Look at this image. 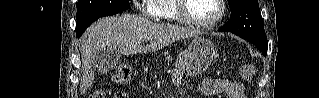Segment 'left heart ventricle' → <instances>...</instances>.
<instances>
[{
    "label": "left heart ventricle",
    "instance_id": "left-heart-ventricle-1",
    "mask_svg": "<svg viewBox=\"0 0 319 98\" xmlns=\"http://www.w3.org/2000/svg\"><path fill=\"white\" fill-rule=\"evenodd\" d=\"M186 11L194 19L210 21L219 13V5L216 0H188Z\"/></svg>",
    "mask_w": 319,
    "mask_h": 98
}]
</instances>
